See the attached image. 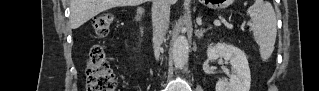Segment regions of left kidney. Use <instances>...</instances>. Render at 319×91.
I'll return each instance as SVG.
<instances>
[{
	"instance_id": "left-kidney-1",
	"label": "left kidney",
	"mask_w": 319,
	"mask_h": 91,
	"mask_svg": "<svg viewBox=\"0 0 319 91\" xmlns=\"http://www.w3.org/2000/svg\"><path fill=\"white\" fill-rule=\"evenodd\" d=\"M210 61L219 57L224 58L232 65L233 74L230 80H219L216 83V91H249L251 75L248 60L244 52L230 44L217 43L211 45L207 50Z\"/></svg>"
}]
</instances>
